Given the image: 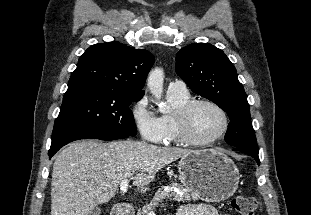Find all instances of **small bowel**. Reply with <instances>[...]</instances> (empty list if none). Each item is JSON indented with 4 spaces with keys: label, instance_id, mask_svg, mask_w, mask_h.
<instances>
[{
    "label": "small bowel",
    "instance_id": "1",
    "mask_svg": "<svg viewBox=\"0 0 311 215\" xmlns=\"http://www.w3.org/2000/svg\"><path fill=\"white\" fill-rule=\"evenodd\" d=\"M177 215H229L221 214L210 205L201 203H190L181 205Z\"/></svg>",
    "mask_w": 311,
    "mask_h": 215
}]
</instances>
